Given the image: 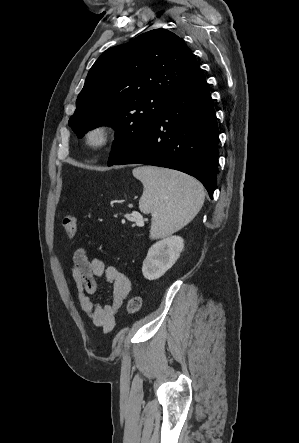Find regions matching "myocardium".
<instances>
[{
  "mask_svg": "<svg viewBox=\"0 0 299 443\" xmlns=\"http://www.w3.org/2000/svg\"><path fill=\"white\" fill-rule=\"evenodd\" d=\"M116 139V130L108 123H96L84 134V144L92 152H100L108 148Z\"/></svg>",
  "mask_w": 299,
  "mask_h": 443,
  "instance_id": "obj_1",
  "label": "myocardium"
}]
</instances>
